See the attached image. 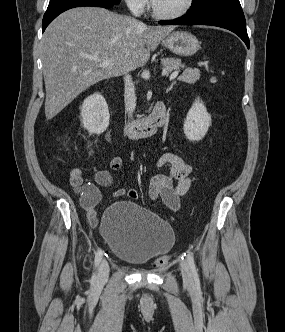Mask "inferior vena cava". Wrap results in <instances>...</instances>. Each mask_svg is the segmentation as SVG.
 Returning a JSON list of instances; mask_svg holds the SVG:
<instances>
[{"label": "inferior vena cava", "instance_id": "1", "mask_svg": "<svg viewBox=\"0 0 285 332\" xmlns=\"http://www.w3.org/2000/svg\"><path fill=\"white\" fill-rule=\"evenodd\" d=\"M125 81V110L129 116H132V113L136 107V95H135V88L134 84L132 83L131 76L126 73L124 77Z\"/></svg>", "mask_w": 285, "mask_h": 332}]
</instances>
